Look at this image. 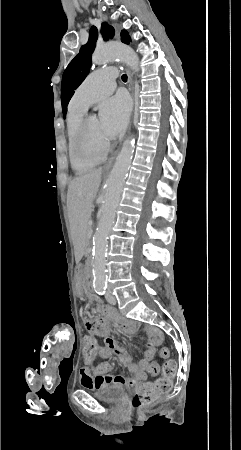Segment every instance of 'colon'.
<instances>
[{
    "instance_id": "obj_1",
    "label": "colon",
    "mask_w": 241,
    "mask_h": 450,
    "mask_svg": "<svg viewBox=\"0 0 241 450\" xmlns=\"http://www.w3.org/2000/svg\"><path fill=\"white\" fill-rule=\"evenodd\" d=\"M80 352L84 353V356L88 360L89 364L93 363V358L98 352V347L93 345L85 338L80 340ZM161 358H167L169 350L166 347H162L159 351ZM164 376L158 378L152 383L143 384L140 389L135 393L132 405L135 409H146L153 406L170 388L169 377L176 370V365L171 360H166L163 365ZM159 367L156 363H151L145 370L146 375L155 376L158 373Z\"/></svg>"
}]
</instances>
